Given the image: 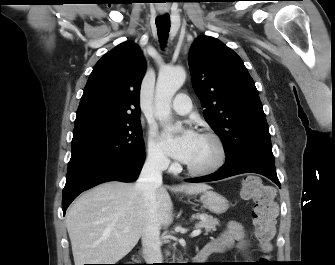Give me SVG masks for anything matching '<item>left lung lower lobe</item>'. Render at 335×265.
Masks as SVG:
<instances>
[{"label":"left lung lower lobe","mask_w":335,"mask_h":265,"mask_svg":"<svg viewBox=\"0 0 335 265\" xmlns=\"http://www.w3.org/2000/svg\"><path fill=\"white\" fill-rule=\"evenodd\" d=\"M242 173H257L272 180L279 188H281L278 180L275 163L264 159L246 157L235 161L226 162L217 172L199 178L187 179V182H209Z\"/></svg>","instance_id":"obj_1"}]
</instances>
